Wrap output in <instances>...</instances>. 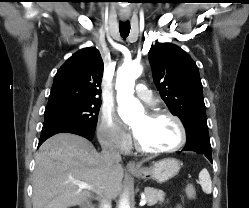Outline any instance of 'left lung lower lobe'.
<instances>
[{
	"instance_id": "left-lung-lower-lobe-1",
	"label": "left lung lower lobe",
	"mask_w": 249,
	"mask_h": 208,
	"mask_svg": "<svg viewBox=\"0 0 249 208\" xmlns=\"http://www.w3.org/2000/svg\"><path fill=\"white\" fill-rule=\"evenodd\" d=\"M182 151H194L199 154H204L212 163L211 144L209 137L197 135L187 139V143Z\"/></svg>"
}]
</instances>
